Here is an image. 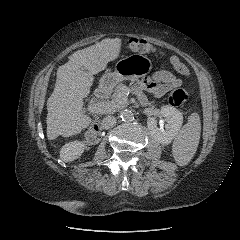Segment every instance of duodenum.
<instances>
[{
  "label": "duodenum",
  "instance_id": "1",
  "mask_svg": "<svg viewBox=\"0 0 240 240\" xmlns=\"http://www.w3.org/2000/svg\"><path fill=\"white\" fill-rule=\"evenodd\" d=\"M109 92V88L106 85H102L96 89L95 95L100 100H106L109 96ZM96 124L98 125V128H100L97 122L93 123L92 127H95Z\"/></svg>",
  "mask_w": 240,
  "mask_h": 240
}]
</instances>
